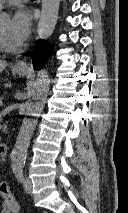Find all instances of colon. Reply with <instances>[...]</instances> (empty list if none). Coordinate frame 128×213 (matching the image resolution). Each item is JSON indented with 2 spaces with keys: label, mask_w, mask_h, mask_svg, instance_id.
Returning a JSON list of instances; mask_svg holds the SVG:
<instances>
[{
  "label": "colon",
  "mask_w": 128,
  "mask_h": 213,
  "mask_svg": "<svg viewBox=\"0 0 128 213\" xmlns=\"http://www.w3.org/2000/svg\"><path fill=\"white\" fill-rule=\"evenodd\" d=\"M0 196L3 198V202L10 210V213H22L18 202L14 195L5 183H0Z\"/></svg>",
  "instance_id": "colon-1"
}]
</instances>
